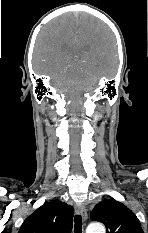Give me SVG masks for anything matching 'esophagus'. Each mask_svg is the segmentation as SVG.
Wrapping results in <instances>:
<instances>
[{"mask_svg":"<svg viewBox=\"0 0 148 233\" xmlns=\"http://www.w3.org/2000/svg\"><path fill=\"white\" fill-rule=\"evenodd\" d=\"M76 211L82 216L84 220L87 219V210L84 205H77Z\"/></svg>","mask_w":148,"mask_h":233,"instance_id":"1","label":"esophagus"}]
</instances>
